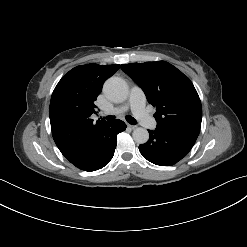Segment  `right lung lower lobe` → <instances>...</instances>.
Wrapping results in <instances>:
<instances>
[{
	"mask_svg": "<svg viewBox=\"0 0 247 247\" xmlns=\"http://www.w3.org/2000/svg\"><path fill=\"white\" fill-rule=\"evenodd\" d=\"M126 129L121 120L104 123L90 130L79 148L65 156L77 168L95 171L107 165L114 155L117 134Z\"/></svg>",
	"mask_w": 247,
	"mask_h": 247,
	"instance_id": "98d812e1",
	"label": "right lung lower lobe"
}]
</instances>
